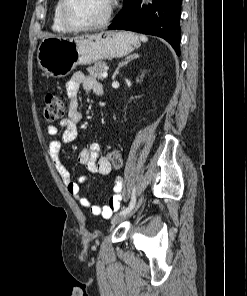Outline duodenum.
Returning a JSON list of instances; mask_svg holds the SVG:
<instances>
[{
  "label": "duodenum",
  "mask_w": 247,
  "mask_h": 296,
  "mask_svg": "<svg viewBox=\"0 0 247 296\" xmlns=\"http://www.w3.org/2000/svg\"><path fill=\"white\" fill-rule=\"evenodd\" d=\"M103 94V92H102V89H100L99 91H98V95H102Z\"/></svg>",
  "instance_id": "obj_1"
}]
</instances>
